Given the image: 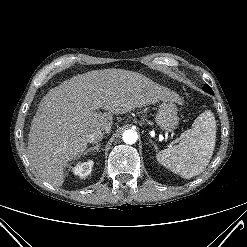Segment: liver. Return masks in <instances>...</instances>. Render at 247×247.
I'll list each match as a JSON object with an SVG mask.
<instances>
[{"instance_id": "obj_1", "label": "liver", "mask_w": 247, "mask_h": 247, "mask_svg": "<svg viewBox=\"0 0 247 247\" xmlns=\"http://www.w3.org/2000/svg\"><path fill=\"white\" fill-rule=\"evenodd\" d=\"M159 101L179 102L174 91L133 71L93 70L64 81L42 98L32 120L28 158L41 179L54 187L64 183V168L87 148V136L109 133L113 114ZM101 107L106 112H96Z\"/></svg>"}]
</instances>
